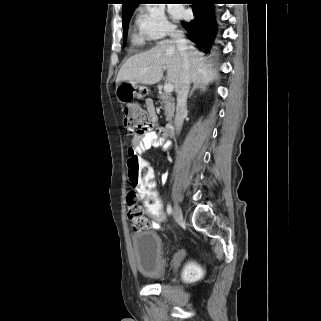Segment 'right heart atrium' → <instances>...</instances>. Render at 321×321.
Returning a JSON list of instances; mask_svg holds the SVG:
<instances>
[{"instance_id":"1","label":"right heart atrium","mask_w":321,"mask_h":321,"mask_svg":"<svg viewBox=\"0 0 321 321\" xmlns=\"http://www.w3.org/2000/svg\"><path fill=\"white\" fill-rule=\"evenodd\" d=\"M136 24L140 33L150 40L162 39L175 31L162 8L145 5L139 9Z\"/></svg>"}]
</instances>
